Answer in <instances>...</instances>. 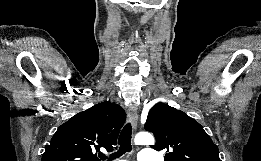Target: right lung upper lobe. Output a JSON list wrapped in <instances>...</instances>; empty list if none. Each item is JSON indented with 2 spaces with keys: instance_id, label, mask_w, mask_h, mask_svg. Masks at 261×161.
Segmentation results:
<instances>
[{
  "instance_id": "obj_1",
  "label": "right lung upper lobe",
  "mask_w": 261,
  "mask_h": 161,
  "mask_svg": "<svg viewBox=\"0 0 261 161\" xmlns=\"http://www.w3.org/2000/svg\"><path fill=\"white\" fill-rule=\"evenodd\" d=\"M125 118L124 110L108 101L76 114L57 129L42 161H100L99 148L113 149Z\"/></svg>"
}]
</instances>
